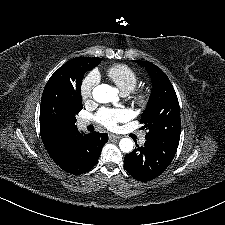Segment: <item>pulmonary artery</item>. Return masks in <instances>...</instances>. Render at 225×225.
Segmentation results:
<instances>
[{
    "label": "pulmonary artery",
    "instance_id": "1",
    "mask_svg": "<svg viewBox=\"0 0 225 225\" xmlns=\"http://www.w3.org/2000/svg\"><path fill=\"white\" fill-rule=\"evenodd\" d=\"M89 124H90V121L87 120V119H81V120L78 121V126H79L80 128H84V127H86V126L89 125ZM140 142H141V143H144V142H145V138H141V139H140Z\"/></svg>",
    "mask_w": 225,
    "mask_h": 225
}]
</instances>
